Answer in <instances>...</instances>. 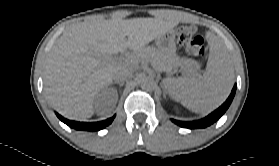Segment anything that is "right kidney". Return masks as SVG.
<instances>
[{
    "label": "right kidney",
    "mask_w": 279,
    "mask_h": 166,
    "mask_svg": "<svg viewBox=\"0 0 279 166\" xmlns=\"http://www.w3.org/2000/svg\"><path fill=\"white\" fill-rule=\"evenodd\" d=\"M108 94H112V106H114L117 102L118 95L115 91H103L97 96V100L100 102H106L108 100Z\"/></svg>",
    "instance_id": "1"
}]
</instances>
